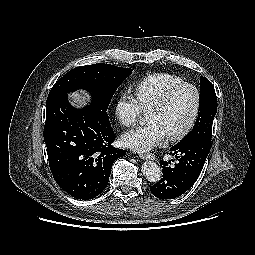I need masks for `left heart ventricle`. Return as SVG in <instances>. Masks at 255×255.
<instances>
[{
  "instance_id": "obj_1",
  "label": "left heart ventricle",
  "mask_w": 255,
  "mask_h": 255,
  "mask_svg": "<svg viewBox=\"0 0 255 255\" xmlns=\"http://www.w3.org/2000/svg\"><path fill=\"white\" fill-rule=\"evenodd\" d=\"M195 100L193 89L182 88L172 96L164 109L148 112L147 123H157L166 136L177 134L188 124L194 111Z\"/></svg>"
}]
</instances>
